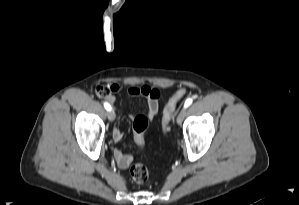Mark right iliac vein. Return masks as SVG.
I'll use <instances>...</instances> for the list:
<instances>
[{"instance_id":"obj_1","label":"right iliac vein","mask_w":299,"mask_h":205,"mask_svg":"<svg viewBox=\"0 0 299 205\" xmlns=\"http://www.w3.org/2000/svg\"><path fill=\"white\" fill-rule=\"evenodd\" d=\"M107 115H108V119L110 121H114L115 120L116 114H115L114 110H110Z\"/></svg>"}]
</instances>
